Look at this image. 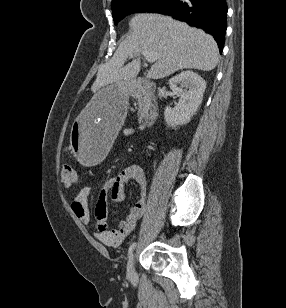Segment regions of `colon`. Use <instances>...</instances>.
<instances>
[{"mask_svg": "<svg viewBox=\"0 0 286 308\" xmlns=\"http://www.w3.org/2000/svg\"><path fill=\"white\" fill-rule=\"evenodd\" d=\"M60 177L61 182L66 186H74L79 181L77 171L72 166L68 165L62 167Z\"/></svg>", "mask_w": 286, "mask_h": 308, "instance_id": "1", "label": "colon"}]
</instances>
